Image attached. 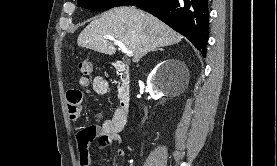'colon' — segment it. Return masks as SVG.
I'll use <instances>...</instances> for the list:
<instances>
[{"instance_id":"colon-1","label":"colon","mask_w":277,"mask_h":166,"mask_svg":"<svg viewBox=\"0 0 277 166\" xmlns=\"http://www.w3.org/2000/svg\"><path fill=\"white\" fill-rule=\"evenodd\" d=\"M79 70L84 75H89L93 71V63L90 59H84L79 63Z\"/></svg>"}]
</instances>
